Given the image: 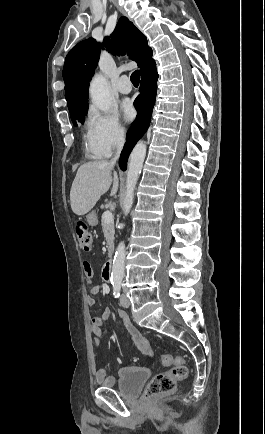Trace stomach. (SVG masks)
<instances>
[{"mask_svg":"<svg viewBox=\"0 0 265 434\" xmlns=\"http://www.w3.org/2000/svg\"><path fill=\"white\" fill-rule=\"evenodd\" d=\"M87 220H88L89 224H95V222L97 220L95 212H91V214H88Z\"/></svg>","mask_w":265,"mask_h":434,"instance_id":"0dacf381","label":"stomach"}]
</instances>
